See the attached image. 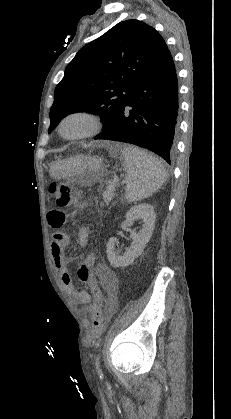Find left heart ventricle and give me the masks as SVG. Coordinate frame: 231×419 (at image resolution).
Masks as SVG:
<instances>
[{"instance_id":"1","label":"left heart ventricle","mask_w":231,"mask_h":419,"mask_svg":"<svg viewBox=\"0 0 231 419\" xmlns=\"http://www.w3.org/2000/svg\"><path fill=\"white\" fill-rule=\"evenodd\" d=\"M88 128V122L82 118L69 119L63 127L66 135L80 134Z\"/></svg>"}]
</instances>
